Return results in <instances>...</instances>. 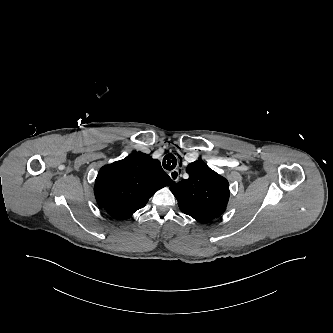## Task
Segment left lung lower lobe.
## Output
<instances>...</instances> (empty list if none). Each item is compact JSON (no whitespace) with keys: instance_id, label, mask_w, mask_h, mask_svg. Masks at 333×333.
I'll return each mask as SVG.
<instances>
[{"instance_id":"0a47b994","label":"left lung lower lobe","mask_w":333,"mask_h":333,"mask_svg":"<svg viewBox=\"0 0 333 333\" xmlns=\"http://www.w3.org/2000/svg\"><path fill=\"white\" fill-rule=\"evenodd\" d=\"M183 213L193 217L194 219H196L200 222L210 221L214 218H217L218 216H220L222 214L220 212H198V211H193V210L183 211Z\"/></svg>"}]
</instances>
